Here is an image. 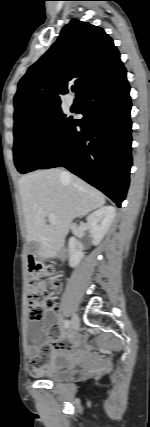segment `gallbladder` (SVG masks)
<instances>
[{"mask_svg": "<svg viewBox=\"0 0 150 427\" xmlns=\"http://www.w3.org/2000/svg\"><path fill=\"white\" fill-rule=\"evenodd\" d=\"M30 249H31L33 252L38 251V250H39V245H38V243H36V242H31V243H30Z\"/></svg>", "mask_w": 150, "mask_h": 427, "instance_id": "gallbladder-1", "label": "gallbladder"}]
</instances>
